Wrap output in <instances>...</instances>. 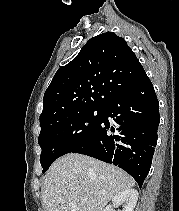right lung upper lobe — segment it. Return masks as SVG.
I'll use <instances>...</instances> for the list:
<instances>
[{"instance_id":"1","label":"right lung upper lobe","mask_w":179,"mask_h":211,"mask_svg":"<svg viewBox=\"0 0 179 211\" xmlns=\"http://www.w3.org/2000/svg\"><path fill=\"white\" fill-rule=\"evenodd\" d=\"M145 71L126 41L112 32L92 37L79 54L59 68L43 98L41 128L92 108H105Z\"/></svg>"}]
</instances>
